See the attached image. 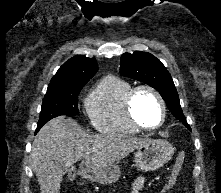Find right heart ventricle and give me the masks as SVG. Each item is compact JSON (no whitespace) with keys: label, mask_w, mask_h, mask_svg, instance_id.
I'll return each instance as SVG.
<instances>
[{"label":"right heart ventricle","mask_w":221,"mask_h":193,"mask_svg":"<svg viewBox=\"0 0 221 193\" xmlns=\"http://www.w3.org/2000/svg\"><path fill=\"white\" fill-rule=\"evenodd\" d=\"M133 88L128 81L105 77L85 100V111L92 126L106 134L134 135V127L125 112V99Z\"/></svg>","instance_id":"right-heart-ventricle-1"}]
</instances>
